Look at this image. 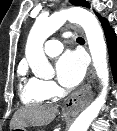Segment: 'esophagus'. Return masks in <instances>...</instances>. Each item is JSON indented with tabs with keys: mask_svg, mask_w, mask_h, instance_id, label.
<instances>
[{
	"mask_svg": "<svg viewBox=\"0 0 117 131\" xmlns=\"http://www.w3.org/2000/svg\"><path fill=\"white\" fill-rule=\"evenodd\" d=\"M67 1V0H66ZM75 30L81 31L78 26H73ZM95 80V72L93 66L90 67L87 83L79 90L74 92L64 104V110L71 114H78L86 105L90 103L93 98V91L91 84Z\"/></svg>",
	"mask_w": 117,
	"mask_h": 131,
	"instance_id": "1",
	"label": "esophagus"
}]
</instances>
